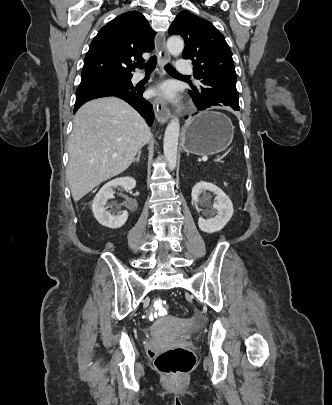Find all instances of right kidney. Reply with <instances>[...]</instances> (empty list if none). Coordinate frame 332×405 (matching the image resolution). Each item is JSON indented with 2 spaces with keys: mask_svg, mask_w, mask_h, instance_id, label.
Wrapping results in <instances>:
<instances>
[{
  "mask_svg": "<svg viewBox=\"0 0 332 405\" xmlns=\"http://www.w3.org/2000/svg\"><path fill=\"white\" fill-rule=\"evenodd\" d=\"M117 186L130 191L135 188L136 180L131 177H121L109 181L96 194L92 204V211L97 221L101 225L111 229L122 227L128 219L127 211H124L121 215H112L107 211V200L113 197V189Z\"/></svg>",
  "mask_w": 332,
  "mask_h": 405,
  "instance_id": "ca27d5eb",
  "label": "right kidney"
}]
</instances>
